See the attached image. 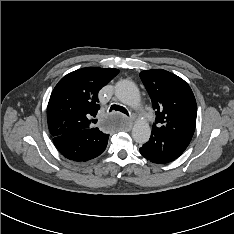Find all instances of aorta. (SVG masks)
I'll return each mask as SVG.
<instances>
[{
    "mask_svg": "<svg viewBox=\"0 0 234 234\" xmlns=\"http://www.w3.org/2000/svg\"><path fill=\"white\" fill-rule=\"evenodd\" d=\"M115 95L120 102L130 107H136L140 103V94L137 86L130 80H121L115 86ZM151 135L149 124L139 119L132 129V137L139 144L146 143Z\"/></svg>",
    "mask_w": 234,
    "mask_h": 234,
    "instance_id": "762f6f07",
    "label": "aorta"
}]
</instances>
